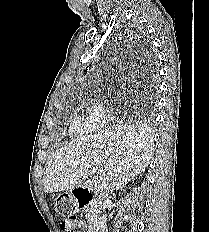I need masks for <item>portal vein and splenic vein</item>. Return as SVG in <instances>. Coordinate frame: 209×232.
Returning a JSON list of instances; mask_svg holds the SVG:
<instances>
[{"mask_svg":"<svg viewBox=\"0 0 209 232\" xmlns=\"http://www.w3.org/2000/svg\"><path fill=\"white\" fill-rule=\"evenodd\" d=\"M97 171V169L95 167L91 168V172L94 174Z\"/></svg>","mask_w":209,"mask_h":232,"instance_id":"portal-vein-and-splenic-vein-1","label":"portal vein and splenic vein"}]
</instances>
